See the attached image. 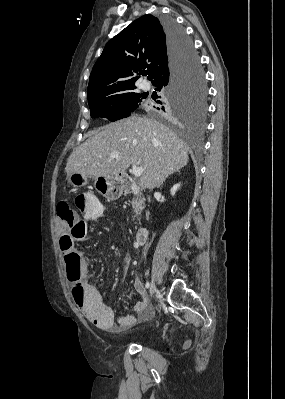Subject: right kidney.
Segmentation results:
<instances>
[{
    "label": "right kidney",
    "instance_id": "right-kidney-1",
    "mask_svg": "<svg viewBox=\"0 0 285 399\" xmlns=\"http://www.w3.org/2000/svg\"><path fill=\"white\" fill-rule=\"evenodd\" d=\"M179 188H180V183L175 184V185L171 188V190H170L171 195L174 196L175 193H176V191H177Z\"/></svg>",
    "mask_w": 285,
    "mask_h": 399
}]
</instances>
